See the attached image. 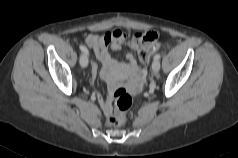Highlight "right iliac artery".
Listing matches in <instances>:
<instances>
[{
	"label": "right iliac artery",
	"instance_id": "obj_1",
	"mask_svg": "<svg viewBox=\"0 0 238 158\" xmlns=\"http://www.w3.org/2000/svg\"><path fill=\"white\" fill-rule=\"evenodd\" d=\"M79 48H80V50H81L82 52L88 54V49H87L85 46L80 45Z\"/></svg>",
	"mask_w": 238,
	"mask_h": 158
}]
</instances>
